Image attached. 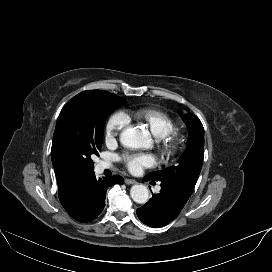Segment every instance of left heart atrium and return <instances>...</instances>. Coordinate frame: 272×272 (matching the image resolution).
Returning a JSON list of instances; mask_svg holds the SVG:
<instances>
[{
	"label": "left heart atrium",
	"instance_id": "left-heart-atrium-1",
	"mask_svg": "<svg viewBox=\"0 0 272 272\" xmlns=\"http://www.w3.org/2000/svg\"><path fill=\"white\" fill-rule=\"evenodd\" d=\"M121 160L132 173H140L144 168L151 167L156 162L154 156L149 153L124 154Z\"/></svg>",
	"mask_w": 272,
	"mask_h": 272
}]
</instances>
